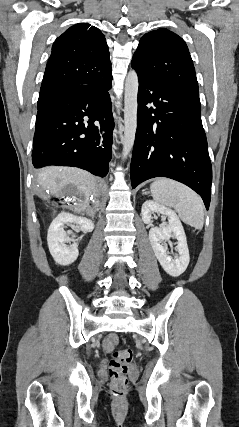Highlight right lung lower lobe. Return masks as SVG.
<instances>
[{"mask_svg":"<svg viewBox=\"0 0 239 427\" xmlns=\"http://www.w3.org/2000/svg\"><path fill=\"white\" fill-rule=\"evenodd\" d=\"M112 74L95 84H75L39 97L32 162L76 166L104 177L109 171Z\"/></svg>","mask_w":239,"mask_h":427,"instance_id":"98d812e1","label":"right lung lower lobe"}]
</instances>
